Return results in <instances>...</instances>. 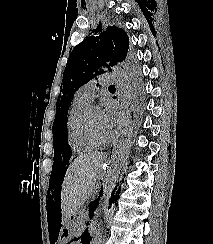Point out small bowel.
I'll use <instances>...</instances> for the list:
<instances>
[{"label":"small bowel","mask_w":213,"mask_h":244,"mask_svg":"<svg viewBox=\"0 0 213 244\" xmlns=\"http://www.w3.org/2000/svg\"><path fill=\"white\" fill-rule=\"evenodd\" d=\"M70 244H86V242L83 238H79V239L72 241Z\"/></svg>","instance_id":"c3829d8e"}]
</instances>
